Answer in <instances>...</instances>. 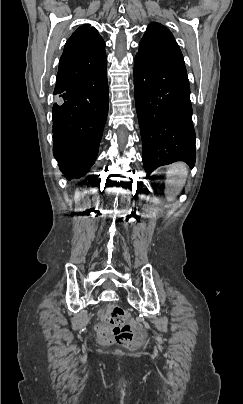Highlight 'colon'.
Segmentation results:
<instances>
[{
  "label": "colon",
  "instance_id": "5ec220e1",
  "mask_svg": "<svg viewBox=\"0 0 243 404\" xmlns=\"http://www.w3.org/2000/svg\"><path fill=\"white\" fill-rule=\"evenodd\" d=\"M127 319L128 313L122 307L110 305L106 310V322L113 328L110 329L108 325H101L98 328L99 334L106 341L113 339L125 347H137L141 343V337L133 327L122 326Z\"/></svg>",
  "mask_w": 243,
  "mask_h": 404
}]
</instances>
